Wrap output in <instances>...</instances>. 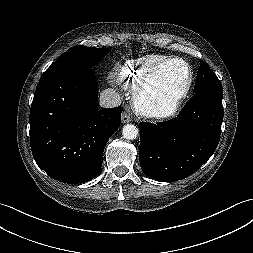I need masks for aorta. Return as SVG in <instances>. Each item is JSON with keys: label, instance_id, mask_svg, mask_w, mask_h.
<instances>
[{"label": "aorta", "instance_id": "obj_1", "mask_svg": "<svg viewBox=\"0 0 253 253\" xmlns=\"http://www.w3.org/2000/svg\"><path fill=\"white\" fill-rule=\"evenodd\" d=\"M138 128L133 124H127L122 129L123 137L127 140L136 139L138 136Z\"/></svg>", "mask_w": 253, "mask_h": 253}]
</instances>
